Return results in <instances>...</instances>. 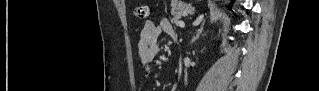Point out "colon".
Segmentation results:
<instances>
[{"mask_svg": "<svg viewBox=\"0 0 319 91\" xmlns=\"http://www.w3.org/2000/svg\"><path fill=\"white\" fill-rule=\"evenodd\" d=\"M136 15L140 19L147 20L150 17V7L148 4L143 3L136 7Z\"/></svg>", "mask_w": 319, "mask_h": 91, "instance_id": "5ec220e1", "label": "colon"}]
</instances>
